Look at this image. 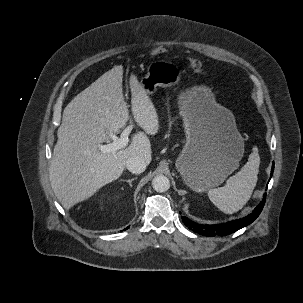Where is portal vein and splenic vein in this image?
Masks as SVG:
<instances>
[{
  "mask_svg": "<svg viewBox=\"0 0 303 303\" xmlns=\"http://www.w3.org/2000/svg\"><path fill=\"white\" fill-rule=\"evenodd\" d=\"M132 129H133V125L127 126L121 133L120 138H118L114 134H111L110 137L113 140V142L107 145H99L98 149L102 153H114L117 150L125 148L128 145V141H129L128 136L131 133Z\"/></svg>",
  "mask_w": 303,
  "mask_h": 303,
  "instance_id": "18ae733b",
  "label": "portal vein and splenic vein"
}]
</instances>
